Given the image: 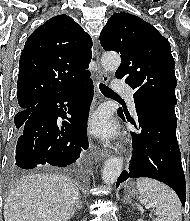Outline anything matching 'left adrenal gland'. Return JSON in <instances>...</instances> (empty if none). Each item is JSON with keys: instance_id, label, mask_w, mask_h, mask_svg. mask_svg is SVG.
<instances>
[{"instance_id": "left-adrenal-gland-1", "label": "left adrenal gland", "mask_w": 190, "mask_h": 221, "mask_svg": "<svg viewBox=\"0 0 190 221\" xmlns=\"http://www.w3.org/2000/svg\"><path fill=\"white\" fill-rule=\"evenodd\" d=\"M124 203L125 204H132L131 199L128 194H125V196H124Z\"/></svg>"}]
</instances>
